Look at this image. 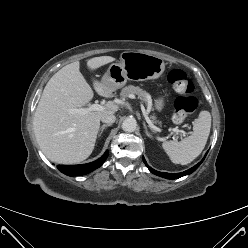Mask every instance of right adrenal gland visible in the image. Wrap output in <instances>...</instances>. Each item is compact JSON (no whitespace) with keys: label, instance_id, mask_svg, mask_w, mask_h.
<instances>
[{"label":"right adrenal gland","instance_id":"right-adrenal-gland-1","mask_svg":"<svg viewBox=\"0 0 248 248\" xmlns=\"http://www.w3.org/2000/svg\"><path fill=\"white\" fill-rule=\"evenodd\" d=\"M109 126H111V124H103V125L100 127V129H99V134H98V136H101V134L103 133L104 129H105L106 127H109Z\"/></svg>","mask_w":248,"mask_h":248}]
</instances>
